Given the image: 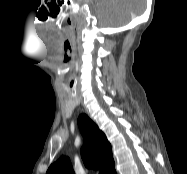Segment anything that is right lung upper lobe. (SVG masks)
<instances>
[{"mask_svg":"<svg viewBox=\"0 0 187 174\" xmlns=\"http://www.w3.org/2000/svg\"><path fill=\"white\" fill-rule=\"evenodd\" d=\"M84 139L81 156L88 168H102L105 174H116L111 145L105 134L91 120L89 126L80 128ZM46 174H74L69 158L61 157Z\"/></svg>","mask_w":187,"mask_h":174,"instance_id":"obj_1","label":"right lung upper lobe"}]
</instances>
